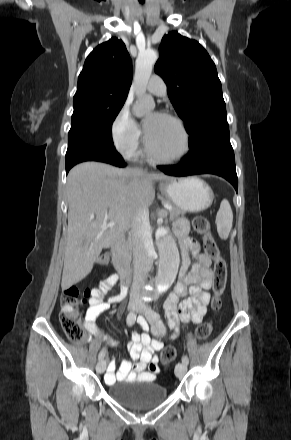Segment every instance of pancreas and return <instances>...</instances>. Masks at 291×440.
<instances>
[{
	"label": "pancreas",
	"mask_w": 291,
	"mask_h": 440,
	"mask_svg": "<svg viewBox=\"0 0 291 440\" xmlns=\"http://www.w3.org/2000/svg\"><path fill=\"white\" fill-rule=\"evenodd\" d=\"M167 203L170 204L169 202H167ZM171 207H172V210H170V220H175L180 215L184 214V212L181 209H179V208H177V207H175L173 205H171ZM130 246L131 245L129 244V248H130Z\"/></svg>",
	"instance_id": "pancreas-1"
}]
</instances>
